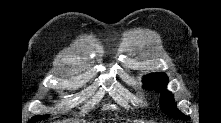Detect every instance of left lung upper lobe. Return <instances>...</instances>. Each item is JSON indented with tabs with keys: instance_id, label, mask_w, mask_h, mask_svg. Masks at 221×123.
<instances>
[{
	"instance_id": "1",
	"label": "left lung upper lobe",
	"mask_w": 221,
	"mask_h": 123,
	"mask_svg": "<svg viewBox=\"0 0 221 123\" xmlns=\"http://www.w3.org/2000/svg\"><path fill=\"white\" fill-rule=\"evenodd\" d=\"M167 83L168 78L166 74L163 73H152L143 78L144 88L149 90L155 89L157 92L161 93L160 105L165 114L174 118L186 119L187 116L176 108L173 94L166 90Z\"/></svg>"
}]
</instances>
